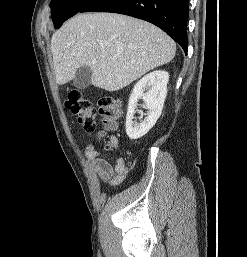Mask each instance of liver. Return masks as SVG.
Wrapping results in <instances>:
<instances>
[{"label":"liver","mask_w":247,"mask_h":257,"mask_svg":"<svg viewBox=\"0 0 247 257\" xmlns=\"http://www.w3.org/2000/svg\"><path fill=\"white\" fill-rule=\"evenodd\" d=\"M51 51L59 85L86 66L92 69V85L118 91L170 62L176 44L146 21L117 13H87L69 19L53 34Z\"/></svg>","instance_id":"6515ba94"}]
</instances>
